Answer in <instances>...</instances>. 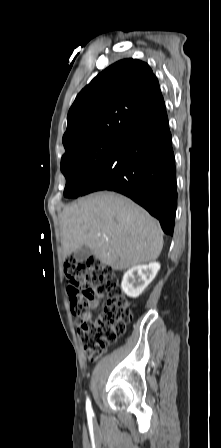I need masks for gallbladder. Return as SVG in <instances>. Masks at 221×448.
Listing matches in <instances>:
<instances>
[{"label": "gallbladder", "mask_w": 221, "mask_h": 448, "mask_svg": "<svg viewBox=\"0 0 221 448\" xmlns=\"http://www.w3.org/2000/svg\"><path fill=\"white\" fill-rule=\"evenodd\" d=\"M92 254L91 249L86 246L83 245L82 247H80L79 249H77L74 252V258L77 262H83L85 261L90 255Z\"/></svg>", "instance_id": "bac80fb5"}]
</instances>
